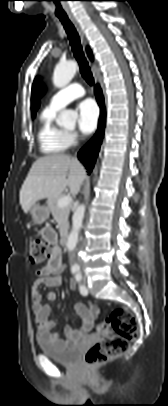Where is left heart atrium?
<instances>
[{
    "instance_id": "obj_1",
    "label": "left heart atrium",
    "mask_w": 168,
    "mask_h": 406,
    "mask_svg": "<svg viewBox=\"0 0 168 406\" xmlns=\"http://www.w3.org/2000/svg\"><path fill=\"white\" fill-rule=\"evenodd\" d=\"M78 127L84 134H91L98 123V108L91 100H85L77 106Z\"/></svg>"
}]
</instances>
